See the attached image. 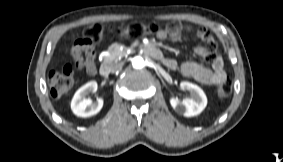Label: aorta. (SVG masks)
Instances as JSON below:
<instances>
[{
  "instance_id": "762f6f07",
  "label": "aorta",
  "mask_w": 283,
  "mask_h": 162,
  "mask_svg": "<svg viewBox=\"0 0 283 162\" xmlns=\"http://www.w3.org/2000/svg\"><path fill=\"white\" fill-rule=\"evenodd\" d=\"M145 66V61L141 56H135L132 59V67L134 69H142Z\"/></svg>"
}]
</instances>
